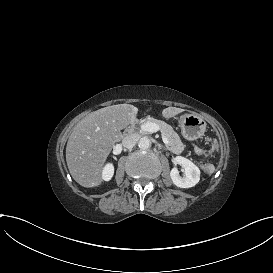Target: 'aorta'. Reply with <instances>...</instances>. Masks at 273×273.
<instances>
[{"label": "aorta", "mask_w": 273, "mask_h": 273, "mask_svg": "<svg viewBox=\"0 0 273 273\" xmlns=\"http://www.w3.org/2000/svg\"><path fill=\"white\" fill-rule=\"evenodd\" d=\"M138 146L142 150H147L151 147V141L147 137H142L138 142Z\"/></svg>", "instance_id": "aorta-1"}]
</instances>
